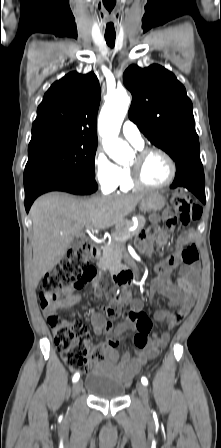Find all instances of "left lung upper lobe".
Masks as SVG:
<instances>
[{
	"mask_svg": "<svg viewBox=\"0 0 221 448\" xmlns=\"http://www.w3.org/2000/svg\"><path fill=\"white\" fill-rule=\"evenodd\" d=\"M133 96L129 118L180 169L201 162L193 106L184 86L164 67L131 65L123 74Z\"/></svg>",
	"mask_w": 221,
	"mask_h": 448,
	"instance_id": "left-lung-upper-lobe-1",
	"label": "left lung upper lobe"
}]
</instances>
